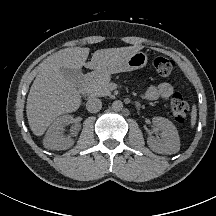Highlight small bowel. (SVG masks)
Masks as SVG:
<instances>
[{
    "mask_svg": "<svg viewBox=\"0 0 216 216\" xmlns=\"http://www.w3.org/2000/svg\"><path fill=\"white\" fill-rule=\"evenodd\" d=\"M175 88L172 84L168 82H161L157 85L150 86L145 94L144 97L148 100H157V99H164L167 100L173 94Z\"/></svg>",
    "mask_w": 216,
    "mask_h": 216,
    "instance_id": "1",
    "label": "small bowel"
}]
</instances>
